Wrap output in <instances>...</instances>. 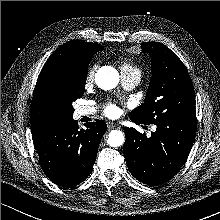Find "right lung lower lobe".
<instances>
[{"mask_svg":"<svg viewBox=\"0 0 220 220\" xmlns=\"http://www.w3.org/2000/svg\"><path fill=\"white\" fill-rule=\"evenodd\" d=\"M86 127L79 129L73 118H59L32 131L40 165L47 177L59 186H77L93 169L107 125L95 120Z\"/></svg>","mask_w":220,"mask_h":220,"instance_id":"right-lung-lower-lobe-1","label":"right lung lower lobe"}]
</instances>
